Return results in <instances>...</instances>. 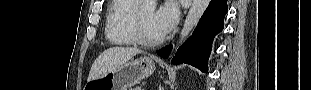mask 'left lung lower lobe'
<instances>
[{
	"label": "left lung lower lobe",
	"mask_w": 311,
	"mask_h": 90,
	"mask_svg": "<svg viewBox=\"0 0 311 90\" xmlns=\"http://www.w3.org/2000/svg\"><path fill=\"white\" fill-rule=\"evenodd\" d=\"M227 0H211L193 35L178 48L173 64L187 63L203 72L208 71V58L214 36L224 27ZM172 45L157 51L162 58H168Z\"/></svg>",
	"instance_id": "obj_1"
}]
</instances>
